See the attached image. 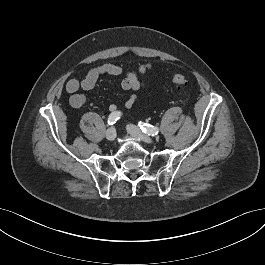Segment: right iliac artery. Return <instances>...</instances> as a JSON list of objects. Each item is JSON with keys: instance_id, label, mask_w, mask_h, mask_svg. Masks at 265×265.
<instances>
[{"instance_id": "1", "label": "right iliac artery", "mask_w": 265, "mask_h": 265, "mask_svg": "<svg viewBox=\"0 0 265 265\" xmlns=\"http://www.w3.org/2000/svg\"><path fill=\"white\" fill-rule=\"evenodd\" d=\"M122 113L120 111H115V112H112L109 117H108V124L109 125H113L116 123L117 120L120 119Z\"/></svg>"}]
</instances>
